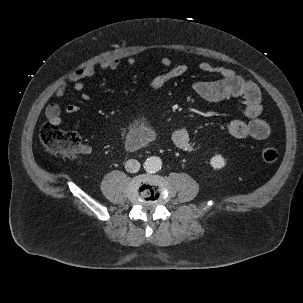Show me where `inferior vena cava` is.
<instances>
[{
  "instance_id": "1",
  "label": "inferior vena cava",
  "mask_w": 303,
  "mask_h": 303,
  "mask_svg": "<svg viewBox=\"0 0 303 303\" xmlns=\"http://www.w3.org/2000/svg\"><path fill=\"white\" fill-rule=\"evenodd\" d=\"M125 169L129 173H136L140 169V163L135 159H129L125 163Z\"/></svg>"
}]
</instances>
